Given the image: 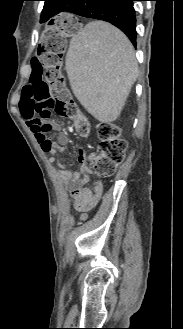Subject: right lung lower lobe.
<instances>
[{"mask_svg":"<svg viewBox=\"0 0 183 329\" xmlns=\"http://www.w3.org/2000/svg\"><path fill=\"white\" fill-rule=\"evenodd\" d=\"M135 0H63L55 13L68 11L83 17L105 20L121 29L136 46Z\"/></svg>","mask_w":183,"mask_h":329,"instance_id":"1","label":"right lung lower lobe"}]
</instances>
